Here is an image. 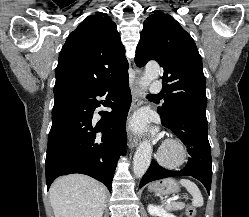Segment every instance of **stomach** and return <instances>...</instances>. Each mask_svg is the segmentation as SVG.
Returning <instances> with one entry per match:
<instances>
[{"label":"stomach","mask_w":249,"mask_h":217,"mask_svg":"<svg viewBox=\"0 0 249 217\" xmlns=\"http://www.w3.org/2000/svg\"><path fill=\"white\" fill-rule=\"evenodd\" d=\"M149 191L157 195H170L179 191V184L171 178L156 181L149 185Z\"/></svg>","instance_id":"1"}]
</instances>
